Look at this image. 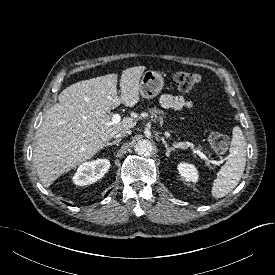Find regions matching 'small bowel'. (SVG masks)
Listing matches in <instances>:
<instances>
[{"label": "small bowel", "mask_w": 275, "mask_h": 275, "mask_svg": "<svg viewBox=\"0 0 275 275\" xmlns=\"http://www.w3.org/2000/svg\"><path fill=\"white\" fill-rule=\"evenodd\" d=\"M160 104L164 108L180 110L183 108H192L193 102L187 100L182 96H175L171 94H164L159 99Z\"/></svg>", "instance_id": "1"}]
</instances>
